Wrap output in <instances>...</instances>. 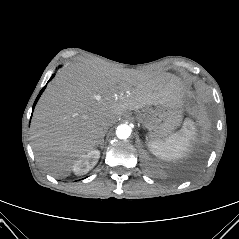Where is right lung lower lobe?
<instances>
[{
  "instance_id": "right-lung-lower-lobe-1",
  "label": "right lung lower lobe",
  "mask_w": 239,
  "mask_h": 239,
  "mask_svg": "<svg viewBox=\"0 0 239 239\" xmlns=\"http://www.w3.org/2000/svg\"><path fill=\"white\" fill-rule=\"evenodd\" d=\"M54 77V75L51 77V79ZM50 79V80H51ZM49 80V81H50ZM46 88V86H44L43 88H42V90L40 91V93H39V95H38V97H37V99H36V101H35V103H34V106L36 105V103H37V101H38V99H39V97H40V95L42 94V92L44 91V89ZM34 106H33V108H34Z\"/></svg>"
}]
</instances>
